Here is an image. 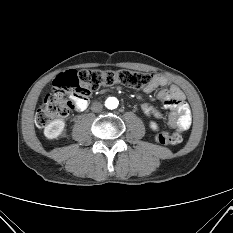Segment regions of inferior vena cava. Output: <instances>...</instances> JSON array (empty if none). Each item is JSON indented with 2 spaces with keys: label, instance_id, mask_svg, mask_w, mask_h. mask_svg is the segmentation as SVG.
<instances>
[{
  "label": "inferior vena cava",
  "instance_id": "obj_1",
  "mask_svg": "<svg viewBox=\"0 0 233 233\" xmlns=\"http://www.w3.org/2000/svg\"><path fill=\"white\" fill-rule=\"evenodd\" d=\"M103 105L100 102H94L91 106V110L93 112H100L102 111Z\"/></svg>",
  "mask_w": 233,
  "mask_h": 233
}]
</instances>
